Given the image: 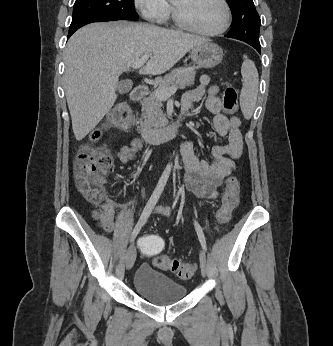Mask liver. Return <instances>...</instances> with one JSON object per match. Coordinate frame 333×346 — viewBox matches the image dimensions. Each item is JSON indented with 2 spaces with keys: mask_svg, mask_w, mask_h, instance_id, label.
I'll return each mask as SVG.
<instances>
[{
  "mask_svg": "<svg viewBox=\"0 0 333 346\" xmlns=\"http://www.w3.org/2000/svg\"><path fill=\"white\" fill-rule=\"evenodd\" d=\"M207 39L155 25L93 23L76 31L64 51V90L75 138L81 141L114 105L118 77L143 55L139 71L160 75Z\"/></svg>",
  "mask_w": 333,
  "mask_h": 346,
  "instance_id": "6515ba94",
  "label": "liver"
}]
</instances>
